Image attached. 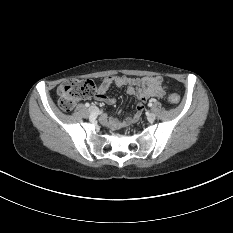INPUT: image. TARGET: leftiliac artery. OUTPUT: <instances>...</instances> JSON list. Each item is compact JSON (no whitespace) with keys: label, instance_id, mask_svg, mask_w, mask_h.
<instances>
[{"label":"left iliac artery","instance_id":"obj_1","mask_svg":"<svg viewBox=\"0 0 233 233\" xmlns=\"http://www.w3.org/2000/svg\"><path fill=\"white\" fill-rule=\"evenodd\" d=\"M148 106H149V107H151V106H152V101H150V102L148 103Z\"/></svg>","mask_w":233,"mask_h":233}]
</instances>
